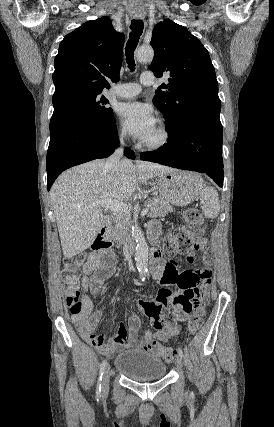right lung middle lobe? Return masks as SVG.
Here are the masks:
<instances>
[{"instance_id": "right-lung-middle-lobe-1", "label": "right lung middle lobe", "mask_w": 274, "mask_h": 427, "mask_svg": "<svg viewBox=\"0 0 274 427\" xmlns=\"http://www.w3.org/2000/svg\"><path fill=\"white\" fill-rule=\"evenodd\" d=\"M99 94H67L53 102L54 112L50 121V137L65 125L75 122L102 123L113 117L107 107L109 101Z\"/></svg>"}]
</instances>
